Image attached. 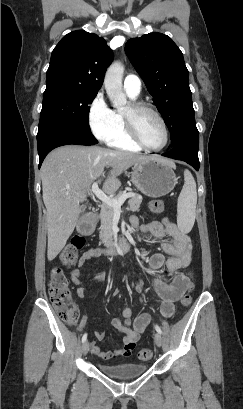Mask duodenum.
Masks as SVG:
<instances>
[{
	"label": "duodenum",
	"instance_id": "1",
	"mask_svg": "<svg viewBox=\"0 0 243 409\" xmlns=\"http://www.w3.org/2000/svg\"><path fill=\"white\" fill-rule=\"evenodd\" d=\"M130 248H131V242L125 239L118 244H113V245L108 246L105 249V254L106 255H117V254L129 251Z\"/></svg>",
	"mask_w": 243,
	"mask_h": 409
}]
</instances>
